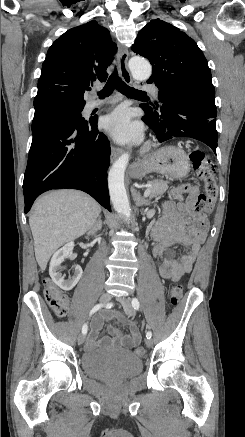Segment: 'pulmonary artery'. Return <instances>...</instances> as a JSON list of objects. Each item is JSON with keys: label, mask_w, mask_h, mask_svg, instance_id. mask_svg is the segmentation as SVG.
Wrapping results in <instances>:
<instances>
[{"label": "pulmonary artery", "mask_w": 245, "mask_h": 437, "mask_svg": "<svg viewBox=\"0 0 245 437\" xmlns=\"http://www.w3.org/2000/svg\"><path fill=\"white\" fill-rule=\"evenodd\" d=\"M144 90L151 92L154 96L158 95V88L153 84H145L142 87ZM105 104V101L92 100L87 103V110H93Z\"/></svg>", "instance_id": "1"}]
</instances>
